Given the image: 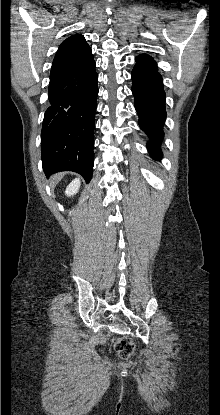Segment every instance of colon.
<instances>
[{
    "label": "colon",
    "instance_id": "obj_1",
    "mask_svg": "<svg viewBox=\"0 0 220 415\" xmlns=\"http://www.w3.org/2000/svg\"><path fill=\"white\" fill-rule=\"evenodd\" d=\"M114 350L122 358H130L134 354V344L128 337L119 338L114 344Z\"/></svg>",
    "mask_w": 220,
    "mask_h": 415
}]
</instances>
